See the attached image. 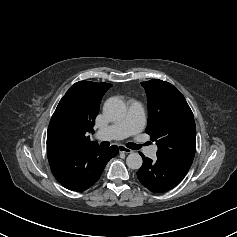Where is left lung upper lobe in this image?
I'll use <instances>...</instances> for the list:
<instances>
[{
    "instance_id": "5c2ea615",
    "label": "left lung upper lobe",
    "mask_w": 237,
    "mask_h": 237,
    "mask_svg": "<svg viewBox=\"0 0 237 237\" xmlns=\"http://www.w3.org/2000/svg\"><path fill=\"white\" fill-rule=\"evenodd\" d=\"M141 85L148 99L146 132L157 142V156L191 166L196 151V126L184 96L162 80L153 79Z\"/></svg>"
}]
</instances>
